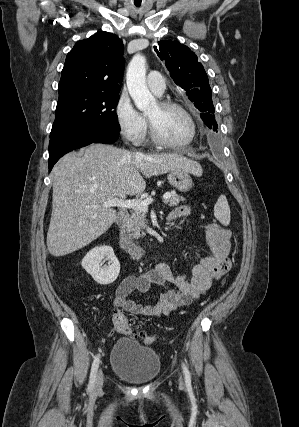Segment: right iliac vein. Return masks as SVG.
Instances as JSON below:
<instances>
[{
	"mask_svg": "<svg viewBox=\"0 0 299 427\" xmlns=\"http://www.w3.org/2000/svg\"><path fill=\"white\" fill-rule=\"evenodd\" d=\"M103 383H104V375L102 370H99L96 377V381H95L94 391L96 392L100 391L103 387Z\"/></svg>",
	"mask_w": 299,
	"mask_h": 427,
	"instance_id": "right-iliac-vein-1",
	"label": "right iliac vein"
}]
</instances>
